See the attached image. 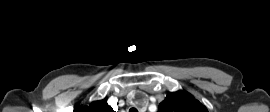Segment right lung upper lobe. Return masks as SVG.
I'll return each mask as SVG.
<instances>
[{"label": "right lung upper lobe", "instance_id": "obj_1", "mask_svg": "<svg viewBox=\"0 0 270 112\" xmlns=\"http://www.w3.org/2000/svg\"><path fill=\"white\" fill-rule=\"evenodd\" d=\"M82 112H115L112 107L107 104V100L93 102L89 107Z\"/></svg>", "mask_w": 270, "mask_h": 112}]
</instances>
